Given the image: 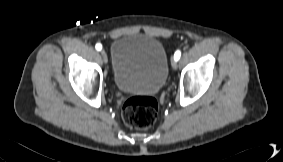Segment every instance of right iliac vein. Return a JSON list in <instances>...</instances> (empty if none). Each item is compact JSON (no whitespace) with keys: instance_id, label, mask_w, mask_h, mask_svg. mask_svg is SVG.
<instances>
[{"instance_id":"obj_1","label":"right iliac vein","mask_w":283,"mask_h":162,"mask_svg":"<svg viewBox=\"0 0 283 162\" xmlns=\"http://www.w3.org/2000/svg\"><path fill=\"white\" fill-rule=\"evenodd\" d=\"M101 56L103 58L104 63H107L108 57H107V54L104 50L101 51Z\"/></svg>"}]
</instances>
